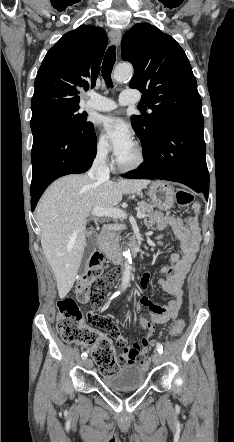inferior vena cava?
<instances>
[{
  "instance_id": "inferior-vena-cava-1",
  "label": "inferior vena cava",
  "mask_w": 234,
  "mask_h": 442,
  "mask_svg": "<svg viewBox=\"0 0 234 442\" xmlns=\"http://www.w3.org/2000/svg\"><path fill=\"white\" fill-rule=\"evenodd\" d=\"M108 150L106 148L99 149L96 158L92 164L91 169L88 172V176L96 180H108L109 179V167L106 164V157Z\"/></svg>"
}]
</instances>
